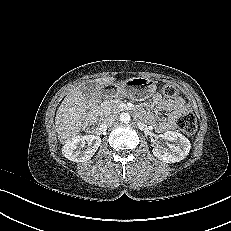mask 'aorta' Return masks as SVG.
<instances>
[{
    "mask_svg": "<svg viewBox=\"0 0 231 231\" xmlns=\"http://www.w3.org/2000/svg\"><path fill=\"white\" fill-rule=\"evenodd\" d=\"M119 119L122 123H129L131 120V117L129 113L123 112L120 114Z\"/></svg>",
    "mask_w": 231,
    "mask_h": 231,
    "instance_id": "1",
    "label": "aorta"
}]
</instances>
